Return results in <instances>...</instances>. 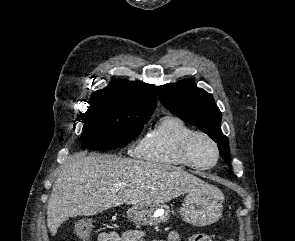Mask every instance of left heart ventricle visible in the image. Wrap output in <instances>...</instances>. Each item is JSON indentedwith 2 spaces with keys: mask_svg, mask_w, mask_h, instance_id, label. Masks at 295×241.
<instances>
[{
  "mask_svg": "<svg viewBox=\"0 0 295 241\" xmlns=\"http://www.w3.org/2000/svg\"><path fill=\"white\" fill-rule=\"evenodd\" d=\"M191 155L193 160L202 166H209L215 160V149L205 138H197L192 145Z\"/></svg>",
  "mask_w": 295,
  "mask_h": 241,
  "instance_id": "left-heart-ventricle-1",
  "label": "left heart ventricle"
}]
</instances>
